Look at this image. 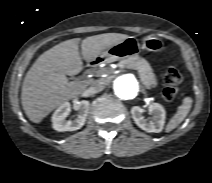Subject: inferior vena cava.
I'll return each mask as SVG.
<instances>
[{
	"label": "inferior vena cava",
	"instance_id": "inferior-vena-cava-1",
	"mask_svg": "<svg viewBox=\"0 0 212 183\" xmlns=\"http://www.w3.org/2000/svg\"><path fill=\"white\" fill-rule=\"evenodd\" d=\"M105 84L106 82L103 79L94 80L91 84L90 91L93 93L100 92L104 89Z\"/></svg>",
	"mask_w": 212,
	"mask_h": 183
}]
</instances>
